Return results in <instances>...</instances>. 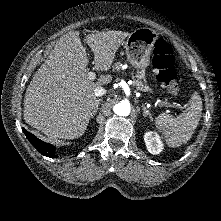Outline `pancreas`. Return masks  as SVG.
I'll return each mask as SVG.
<instances>
[{
    "instance_id": "1",
    "label": "pancreas",
    "mask_w": 221,
    "mask_h": 221,
    "mask_svg": "<svg viewBox=\"0 0 221 221\" xmlns=\"http://www.w3.org/2000/svg\"><path fill=\"white\" fill-rule=\"evenodd\" d=\"M116 69L117 70L120 69V64L116 65ZM136 77L137 80L134 81V86H136L137 90L148 91L149 90L148 86L144 85V83L141 81V79H144V74H137Z\"/></svg>"
}]
</instances>
